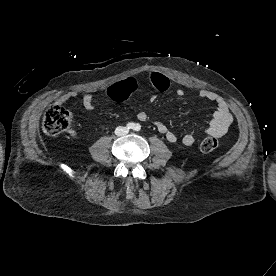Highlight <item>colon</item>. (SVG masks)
<instances>
[{
	"mask_svg": "<svg viewBox=\"0 0 276 276\" xmlns=\"http://www.w3.org/2000/svg\"><path fill=\"white\" fill-rule=\"evenodd\" d=\"M71 126V115L68 110L60 104L50 105L43 116L42 128L46 135L56 136L66 132ZM219 148V141L213 137L202 140L200 149L209 153Z\"/></svg>",
	"mask_w": 276,
	"mask_h": 276,
	"instance_id": "5ec220e1",
	"label": "colon"
}]
</instances>
